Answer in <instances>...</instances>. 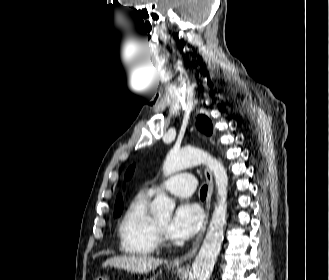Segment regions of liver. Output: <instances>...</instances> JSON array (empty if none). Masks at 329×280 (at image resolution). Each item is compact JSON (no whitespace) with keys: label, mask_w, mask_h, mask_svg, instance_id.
Instances as JSON below:
<instances>
[{"label":"liver","mask_w":329,"mask_h":280,"mask_svg":"<svg viewBox=\"0 0 329 280\" xmlns=\"http://www.w3.org/2000/svg\"><path fill=\"white\" fill-rule=\"evenodd\" d=\"M162 264V260L154 257L148 256H114L107 259L102 267L106 268L108 266L117 269H123L127 272L144 274L157 268Z\"/></svg>","instance_id":"obj_1"}]
</instances>
